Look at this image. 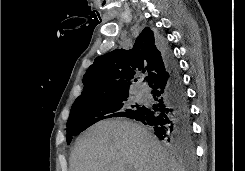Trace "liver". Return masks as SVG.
I'll return each mask as SVG.
<instances>
[{
  "mask_svg": "<svg viewBox=\"0 0 245 171\" xmlns=\"http://www.w3.org/2000/svg\"><path fill=\"white\" fill-rule=\"evenodd\" d=\"M70 171H185L145 127L104 120L77 140Z\"/></svg>",
  "mask_w": 245,
  "mask_h": 171,
  "instance_id": "liver-1",
  "label": "liver"
}]
</instances>
